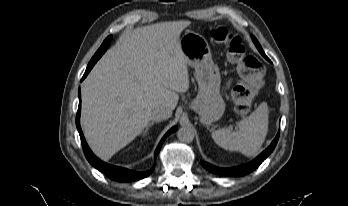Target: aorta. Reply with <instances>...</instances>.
Returning <instances> with one entry per match:
<instances>
[{"mask_svg": "<svg viewBox=\"0 0 348 206\" xmlns=\"http://www.w3.org/2000/svg\"><path fill=\"white\" fill-rule=\"evenodd\" d=\"M194 130L189 126L180 127L177 131V138L180 142L191 143L194 139Z\"/></svg>", "mask_w": 348, "mask_h": 206, "instance_id": "aorta-1", "label": "aorta"}]
</instances>
